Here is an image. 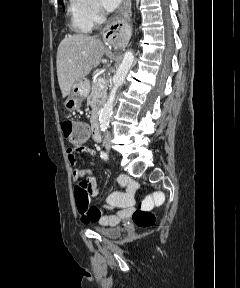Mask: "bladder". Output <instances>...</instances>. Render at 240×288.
<instances>
[{"label": "bladder", "instance_id": "1", "mask_svg": "<svg viewBox=\"0 0 240 288\" xmlns=\"http://www.w3.org/2000/svg\"><path fill=\"white\" fill-rule=\"evenodd\" d=\"M93 230L96 233L109 238H116L120 235V229L117 227L97 225L93 227Z\"/></svg>", "mask_w": 240, "mask_h": 288}]
</instances>
